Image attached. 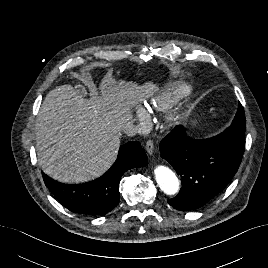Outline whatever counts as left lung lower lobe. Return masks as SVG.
<instances>
[{"label": "left lung lower lobe", "mask_w": 268, "mask_h": 268, "mask_svg": "<svg viewBox=\"0 0 268 268\" xmlns=\"http://www.w3.org/2000/svg\"><path fill=\"white\" fill-rule=\"evenodd\" d=\"M161 157L181 176L179 194L168 200L177 210L202 207L218 195L237 172L244 150L220 136L190 139L181 126L160 143Z\"/></svg>", "instance_id": "1"}]
</instances>
